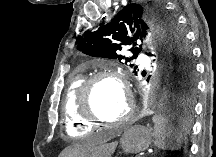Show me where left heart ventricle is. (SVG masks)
Segmentation results:
<instances>
[{
    "instance_id": "left-heart-ventricle-1",
    "label": "left heart ventricle",
    "mask_w": 216,
    "mask_h": 157,
    "mask_svg": "<svg viewBox=\"0 0 216 157\" xmlns=\"http://www.w3.org/2000/svg\"><path fill=\"white\" fill-rule=\"evenodd\" d=\"M92 104L96 115L107 122L118 120L128 107L123 91L110 80H104L95 85Z\"/></svg>"
}]
</instances>
